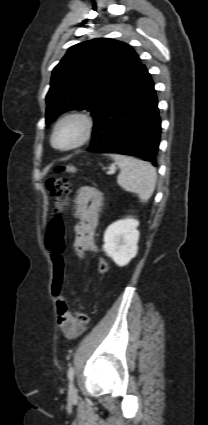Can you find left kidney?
I'll use <instances>...</instances> for the list:
<instances>
[{"instance_id":"5707ae66","label":"left kidney","mask_w":208,"mask_h":425,"mask_svg":"<svg viewBox=\"0 0 208 425\" xmlns=\"http://www.w3.org/2000/svg\"><path fill=\"white\" fill-rule=\"evenodd\" d=\"M138 220L131 217L118 220L105 231L103 249L120 267L127 265L137 254Z\"/></svg>"}]
</instances>
